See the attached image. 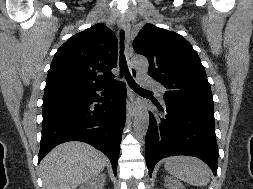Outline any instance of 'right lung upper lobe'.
Wrapping results in <instances>:
<instances>
[{
  "mask_svg": "<svg viewBox=\"0 0 253 189\" xmlns=\"http://www.w3.org/2000/svg\"><path fill=\"white\" fill-rule=\"evenodd\" d=\"M115 34L102 23L75 34L56 52L45 93L109 85L117 66Z\"/></svg>",
  "mask_w": 253,
  "mask_h": 189,
  "instance_id": "1",
  "label": "right lung upper lobe"
}]
</instances>
